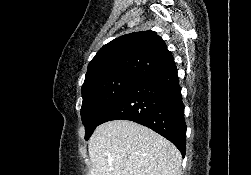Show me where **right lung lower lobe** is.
Listing matches in <instances>:
<instances>
[{
  "instance_id": "obj_1",
  "label": "right lung lower lobe",
  "mask_w": 251,
  "mask_h": 175,
  "mask_svg": "<svg viewBox=\"0 0 251 175\" xmlns=\"http://www.w3.org/2000/svg\"><path fill=\"white\" fill-rule=\"evenodd\" d=\"M118 119L154 130L170 140L184 157L186 123L176 66L134 83L105 111L99 124Z\"/></svg>"
}]
</instances>
